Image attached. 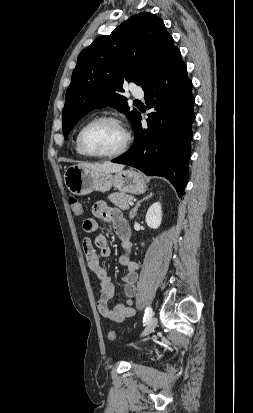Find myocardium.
Listing matches in <instances>:
<instances>
[{"instance_id": "obj_1", "label": "myocardium", "mask_w": 253, "mask_h": 413, "mask_svg": "<svg viewBox=\"0 0 253 413\" xmlns=\"http://www.w3.org/2000/svg\"><path fill=\"white\" fill-rule=\"evenodd\" d=\"M101 122L113 123V124L117 125L123 131L124 141H123L122 146L118 150H116L114 152H111V153L100 154V153H93V152L89 151L86 148L85 143H84V136H85L86 131L91 126H93L97 123H101ZM131 141H132L131 134L128 131V129L126 128V126L124 125V123L120 119H118L117 117L110 116V115L98 116V117H95V118L91 119L90 121H88L86 124H84L81 127V129L78 132V136H77V144H78L79 150L85 156L94 157V158H114V157H118V156L124 154L129 149V147L131 145Z\"/></svg>"}]
</instances>
